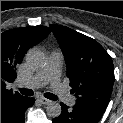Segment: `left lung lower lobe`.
Returning <instances> with one entry per match:
<instances>
[{"instance_id":"obj_1","label":"left lung lower lobe","mask_w":123,"mask_h":123,"mask_svg":"<svg viewBox=\"0 0 123 123\" xmlns=\"http://www.w3.org/2000/svg\"><path fill=\"white\" fill-rule=\"evenodd\" d=\"M62 112L53 120V123H98L99 117L86 114L75 107L69 108L61 103Z\"/></svg>"}]
</instances>
